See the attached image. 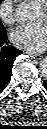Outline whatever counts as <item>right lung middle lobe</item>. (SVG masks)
<instances>
[{
    "instance_id": "right-lung-middle-lobe-1",
    "label": "right lung middle lobe",
    "mask_w": 47,
    "mask_h": 129,
    "mask_svg": "<svg viewBox=\"0 0 47 129\" xmlns=\"http://www.w3.org/2000/svg\"><path fill=\"white\" fill-rule=\"evenodd\" d=\"M1 1V0H0ZM4 33H6L5 32V28H4V26L2 25V23H0V35L1 34H4Z\"/></svg>"
}]
</instances>
